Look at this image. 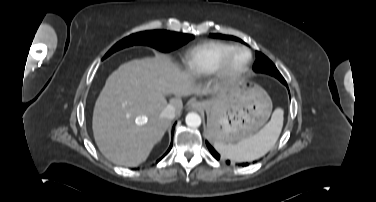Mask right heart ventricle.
I'll use <instances>...</instances> for the list:
<instances>
[{
    "mask_svg": "<svg viewBox=\"0 0 376 202\" xmlns=\"http://www.w3.org/2000/svg\"><path fill=\"white\" fill-rule=\"evenodd\" d=\"M236 46L219 41L201 43L191 48L184 58L186 72L196 76L217 71L222 58Z\"/></svg>",
    "mask_w": 376,
    "mask_h": 202,
    "instance_id": "obj_1",
    "label": "right heart ventricle"
}]
</instances>
